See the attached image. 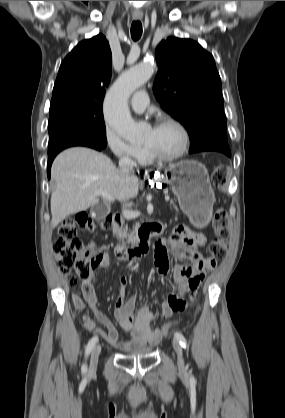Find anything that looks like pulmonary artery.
Listing matches in <instances>:
<instances>
[{
  "label": "pulmonary artery",
  "instance_id": "pulmonary-artery-1",
  "mask_svg": "<svg viewBox=\"0 0 285 418\" xmlns=\"http://www.w3.org/2000/svg\"><path fill=\"white\" fill-rule=\"evenodd\" d=\"M131 107L136 112H142L148 107L147 94L144 91L135 93L131 98Z\"/></svg>",
  "mask_w": 285,
  "mask_h": 418
}]
</instances>
